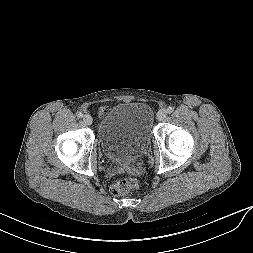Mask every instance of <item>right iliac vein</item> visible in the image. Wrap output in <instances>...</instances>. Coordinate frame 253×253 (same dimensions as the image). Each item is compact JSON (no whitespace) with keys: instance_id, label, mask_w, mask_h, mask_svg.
<instances>
[{"instance_id":"right-iliac-vein-1","label":"right iliac vein","mask_w":253,"mask_h":253,"mask_svg":"<svg viewBox=\"0 0 253 253\" xmlns=\"http://www.w3.org/2000/svg\"><path fill=\"white\" fill-rule=\"evenodd\" d=\"M83 122L86 124V125H91L92 124V117L88 114H85L83 116Z\"/></svg>"}]
</instances>
